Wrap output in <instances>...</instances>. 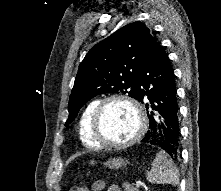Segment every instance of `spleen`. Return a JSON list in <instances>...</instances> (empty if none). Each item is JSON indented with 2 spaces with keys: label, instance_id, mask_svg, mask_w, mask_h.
<instances>
[{
  "label": "spleen",
  "instance_id": "1",
  "mask_svg": "<svg viewBox=\"0 0 221 191\" xmlns=\"http://www.w3.org/2000/svg\"><path fill=\"white\" fill-rule=\"evenodd\" d=\"M147 180L152 184H171L174 186L179 184L178 170L167 158L165 152L156 154L152 168L147 173Z\"/></svg>",
  "mask_w": 221,
  "mask_h": 191
}]
</instances>
